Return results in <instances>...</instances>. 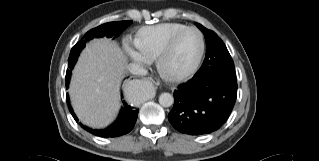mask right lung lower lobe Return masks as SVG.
I'll list each match as a JSON object with an SVG mask.
<instances>
[{"label":"right lung lower lobe","instance_id":"1","mask_svg":"<svg viewBox=\"0 0 319 161\" xmlns=\"http://www.w3.org/2000/svg\"><path fill=\"white\" fill-rule=\"evenodd\" d=\"M68 84H69V80H66V87H68ZM66 97H67V103H68L69 110H70L72 116L74 117L75 121L78 122V118L76 117V115L74 114V112L71 108L68 95ZM138 112H139V109H134L133 107L127 105L124 102V107L121 109L119 117L109 127L102 129V130H98V129L95 130V129H91L87 126H84L81 123H80V125L85 130H87L88 132H90L96 136H101V137L121 136V135L129 133L133 129V127L136 123V120H137Z\"/></svg>","mask_w":319,"mask_h":161}]
</instances>
